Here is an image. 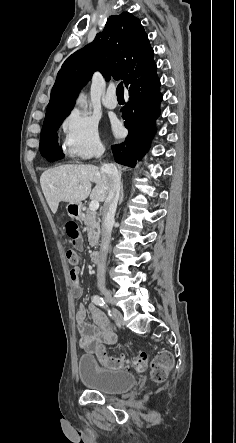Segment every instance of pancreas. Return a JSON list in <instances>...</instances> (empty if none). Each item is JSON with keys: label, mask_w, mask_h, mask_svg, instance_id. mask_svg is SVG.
<instances>
[{"label": "pancreas", "mask_w": 236, "mask_h": 443, "mask_svg": "<svg viewBox=\"0 0 236 443\" xmlns=\"http://www.w3.org/2000/svg\"><path fill=\"white\" fill-rule=\"evenodd\" d=\"M82 221L86 226L88 233V242L91 247H96L100 238V219L95 212L87 211L83 216Z\"/></svg>", "instance_id": "obj_1"}]
</instances>
